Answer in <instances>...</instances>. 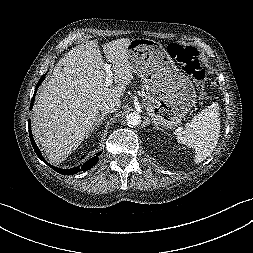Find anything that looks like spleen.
Here are the masks:
<instances>
[{
  "mask_svg": "<svg viewBox=\"0 0 253 253\" xmlns=\"http://www.w3.org/2000/svg\"><path fill=\"white\" fill-rule=\"evenodd\" d=\"M220 109L217 102L197 114L185 129L177 134V141L195 151V163H201L214 150L220 136Z\"/></svg>",
  "mask_w": 253,
  "mask_h": 253,
  "instance_id": "1",
  "label": "spleen"
}]
</instances>
